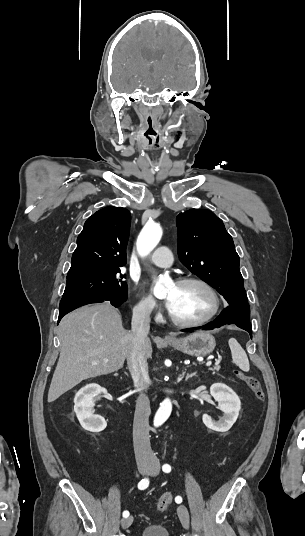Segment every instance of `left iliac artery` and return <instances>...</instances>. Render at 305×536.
<instances>
[{
	"instance_id": "1",
	"label": "left iliac artery",
	"mask_w": 305,
	"mask_h": 536,
	"mask_svg": "<svg viewBox=\"0 0 305 536\" xmlns=\"http://www.w3.org/2000/svg\"><path fill=\"white\" fill-rule=\"evenodd\" d=\"M162 470H163L164 472H166V473H169V472L171 471V467H170L168 464H164V465L162 466ZM175 501H176V503H181V502H182V498H181L180 496H177V497L175 498Z\"/></svg>"
}]
</instances>
